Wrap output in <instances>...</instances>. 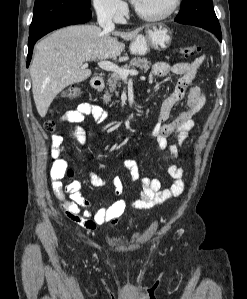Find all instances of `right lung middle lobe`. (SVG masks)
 <instances>
[{"mask_svg":"<svg viewBox=\"0 0 247 299\" xmlns=\"http://www.w3.org/2000/svg\"><path fill=\"white\" fill-rule=\"evenodd\" d=\"M90 0H35L29 32L71 11L90 9Z\"/></svg>","mask_w":247,"mask_h":299,"instance_id":"1","label":"right lung middle lobe"}]
</instances>
